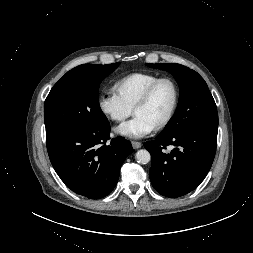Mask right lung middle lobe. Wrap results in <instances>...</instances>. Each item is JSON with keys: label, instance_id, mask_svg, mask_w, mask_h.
<instances>
[{"label": "right lung middle lobe", "instance_id": "right-lung-middle-lobe-1", "mask_svg": "<svg viewBox=\"0 0 253 253\" xmlns=\"http://www.w3.org/2000/svg\"><path fill=\"white\" fill-rule=\"evenodd\" d=\"M120 63L83 64L68 71L51 89L44 105L46 134L107 122L98 101L100 83Z\"/></svg>", "mask_w": 253, "mask_h": 253}]
</instances>
